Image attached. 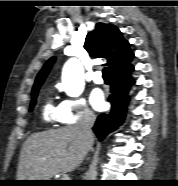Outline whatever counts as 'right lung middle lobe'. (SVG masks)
I'll list each match as a JSON object with an SVG mask.
<instances>
[{
  "mask_svg": "<svg viewBox=\"0 0 178 186\" xmlns=\"http://www.w3.org/2000/svg\"><path fill=\"white\" fill-rule=\"evenodd\" d=\"M37 93L38 92H35L32 94V100H31V104H30V111L33 110L35 104H36V97H37Z\"/></svg>",
  "mask_w": 178,
  "mask_h": 186,
  "instance_id": "obj_1",
  "label": "right lung middle lobe"
}]
</instances>
